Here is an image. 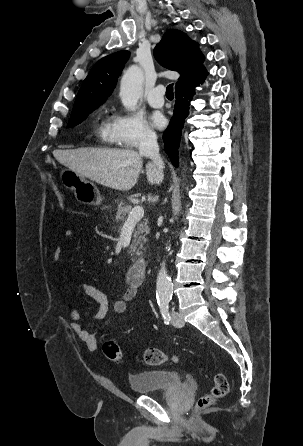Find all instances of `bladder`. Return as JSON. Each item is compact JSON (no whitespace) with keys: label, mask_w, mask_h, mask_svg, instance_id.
<instances>
[{"label":"bladder","mask_w":303,"mask_h":446,"mask_svg":"<svg viewBox=\"0 0 303 446\" xmlns=\"http://www.w3.org/2000/svg\"><path fill=\"white\" fill-rule=\"evenodd\" d=\"M132 392L148 394L156 391H166L182 387L184 381L181 375L169 370H144L128 377Z\"/></svg>","instance_id":"1"}]
</instances>
